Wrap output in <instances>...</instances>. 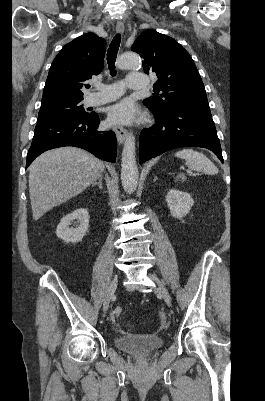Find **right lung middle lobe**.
Here are the masks:
<instances>
[{
  "mask_svg": "<svg viewBox=\"0 0 265 401\" xmlns=\"http://www.w3.org/2000/svg\"><path fill=\"white\" fill-rule=\"evenodd\" d=\"M80 99L60 100L47 104H41L38 120L51 116L83 117L89 115L85 112Z\"/></svg>",
  "mask_w": 265,
  "mask_h": 401,
  "instance_id": "dd1d6c3e",
  "label": "right lung middle lobe"
}]
</instances>
